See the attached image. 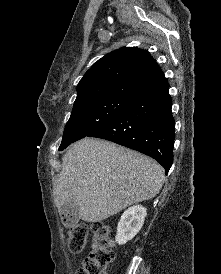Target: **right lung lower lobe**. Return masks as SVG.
<instances>
[{
  "label": "right lung lower lobe",
  "instance_id": "right-lung-lower-lobe-1",
  "mask_svg": "<svg viewBox=\"0 0 221 274\" xmlns=\"http://www.w3.org/2000/svg\"><path fill=\"white\" fill-rule=\"evenodd\" d=\"M166 79L133 99L89 135L137 150L158 161L168 173L173 163L175 121Z\"/></svg>",
  "mask_w": 221,
  "mask_h": 274
}]
</instances>
